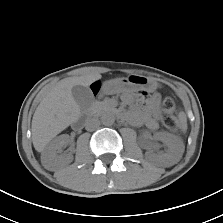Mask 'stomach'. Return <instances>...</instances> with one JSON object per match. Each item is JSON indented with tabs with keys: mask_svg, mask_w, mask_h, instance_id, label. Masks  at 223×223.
<instances>
[{
	"mask_svg": "<svg viewBox=\"0 0 223 223\" xmlns=\"http://www.w3.org/2000/svg\"><path fill=\"white\" fill-rule=\"evenodd\" d=\"M155 89L154 80L136 74L106 82L102 86V91L106 94H125L138 90L153 91Z\"/></svg>",
	"mask_w": 223,
	"mask_h": 223,
	"instance_id": "1",
	"label": "stomach"
}]
</instances>
